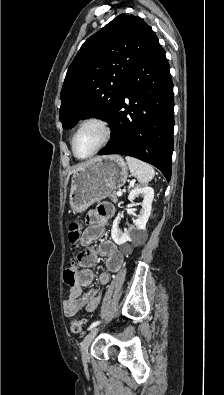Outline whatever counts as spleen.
I'll use <instances>...</instances> for the list:
<instances>
[{
    "mask_svg": "<svg viewBox=\"0 0 224 395\" xmlns=\"http://www.w3.org/2000/svg\"><path fill=\"white\" fill-rule=\"evenodd\" d=\"M125 159L131 174L136 177L141 184H146L153 179L155 171L152 166L130 156H126Z\"/></svg>",
    "mask_w": 224,
    "mask_h": 395,
    "instance_id": "spleen-1",
    "label": "spleen"
}]
</instances>
